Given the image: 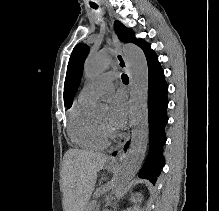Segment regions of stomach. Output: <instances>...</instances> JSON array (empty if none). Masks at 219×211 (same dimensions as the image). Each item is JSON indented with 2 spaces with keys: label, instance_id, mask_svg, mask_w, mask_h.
Wrapping results in <instances>:
<instances>
[{
  "label": "stomach",
  "instance_id": "0dacf381",
  "mask_svg": "<svg viewBox=\"0 0 219 211\" xmlns=\"http://www.w3.org/2000/svg\"><path fill=\"white\" fill-rule=\"evenodd\" d=\"M106 168H107V170H109V171H114V170L117 169V166L114 165V164H107Z\"/></svg>",
  "mask_w": 219,
  "mask_h": 211
}]
</instances>
